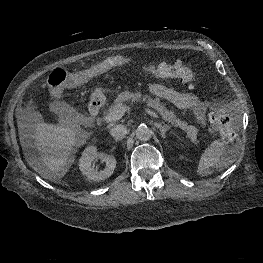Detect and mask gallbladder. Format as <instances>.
I'll return each mask as SVG.
<instances>
[{"mask_svg": "<svg viewBox=\"0 0 263 263\" xmlns=\"http://www.w3.org/2000/svg\"><path fill=\"white\" fill-rule=\"evenodd\" d=\"M49 110L61 123H72L78 119L77 113L63 101H53L49 104Z\"/></svg>", "mask_w": 263, "mask_h": 263, "instance_id": "gallbladder-1", "label": "gallbladder"}]
</instances>
